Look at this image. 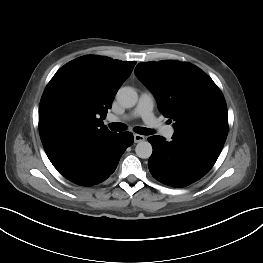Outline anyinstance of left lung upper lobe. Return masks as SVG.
<instances>
[{"mask_svg": "<svg viewBox=\"0 0 263 263\" xmlns=\"http://www.w3.org/2000/svg\"><path fill=\"white\" fill-rule=\"evenodd\" d=\"M135 74L155 95L160 112L174 121L175 132L226 140L225 99L201 69L186 62L164 60L139 63Z\"/></svg>", "mask_w": 263, "mask_h": 263, "instance_id": "5c2ea615", "label": "left lung upper lobe"}]
</instances>
